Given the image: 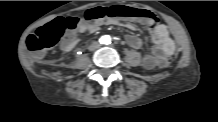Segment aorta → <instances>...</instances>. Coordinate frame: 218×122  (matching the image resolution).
Listing matches in <instances>:
<instances>
[{"mask_svg": "<svg viewBox=\"0 0 218 122\" xmlns=\"http://www.w3.org/2000/svg\"><path fill=\"white\" fill-rule=\"evenodd\" d=\"M100 41L102 44H110L111 43V37L109 35H104L100 38Z\"/></svg>", "mask_w": 218, "mask_h": 122, "instance_id": "1", "label": "aorta"}]
</instances>
